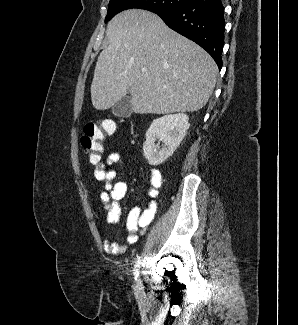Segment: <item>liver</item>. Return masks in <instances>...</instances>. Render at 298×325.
Returning a JSON list of instances; mask_svg holds the SVG:
<instances>
[{
	"mask_svg": "<svg viewBox=\"0 0 298 325\" xmlns=\"http://www.w3.org/2000/svg\"><path fill=\"white\" fill-rule=\"evenodd\" d=\"M108 46L100 52L90 86L97 110L128 92L133 112H194L207 104L216 84L212 56L168 28L160 16L123 10L107 24Z\"/></svg>",
	"mask_w": 298,
	"mask_h": 325,
	"instance_id": "liver-1",
	"label": "liver"
}]
</instances>
